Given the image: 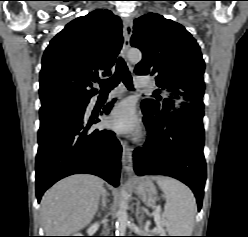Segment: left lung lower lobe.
Returning <instances> with one entry per match:
<instances>
[{"label":"left lung lower lobe","instance_id":"0a47b994","mask_svg":"<svg viewBox=\"0 0 248 237\" xmlns=\"http://www.w3.org/2000/svg\"><path fill=\"white\" fill-rule=\"evenodd\" d=\"M148 138L134 151V170L142 175L174 177L194 192L198 209L203 199L206 163L203 154L202 109L178 108L159 122L142 107Z\"/></svg>","mask_w":248,"mask_h":237}]
</instances>
